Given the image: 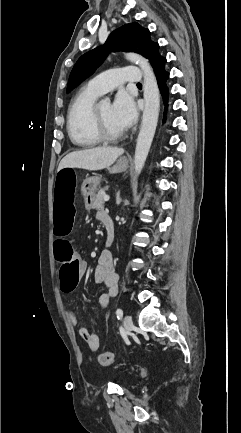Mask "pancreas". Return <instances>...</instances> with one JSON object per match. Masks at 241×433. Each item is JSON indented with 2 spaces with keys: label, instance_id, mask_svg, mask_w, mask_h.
I'll use <instances>...</instances> for the list:
<instances>
[{
  "label": "pancreas",
  "instance_id": "pancreas-1",
  "mask_svg": "<svg viewBox=\"0 0 241 433\" xmlns=\"http://www.w3.org/2000/svg\"><path fill=\"white\" fill-rule=\"evenodd\" d=\"M104 196H105V189L99 190L98 193L95 195V199L92 204L93 209L101 210L104 208Z\"/></svg>",
  "mask_w": 241,
  "mask_h": 433
}]
</instances>
